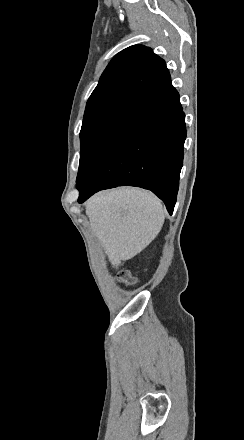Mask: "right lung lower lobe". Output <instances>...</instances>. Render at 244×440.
I'll return each instance as SVG.
<instances>
[{
    "label": "right lung lower lobe",
    "instance_id": "98d812e1",
    "mask_svg": "<svg viewBox=\"0 0 244 440\" xmlns=\"http://www.w3.org/2000/svg\"><path fill=\"white\" fill-rule=\"evenodd\" d=\"M185 138V114L169 79L140 98L105 138L77 182L78 202L103 189L138 186L172 214Z\"/></svg>",
    "mask_w": 244,
    "mask_h": 440
}]
</instances>
